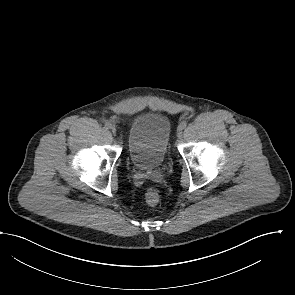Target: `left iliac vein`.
<instances>
[{"instance_id":"left-iliac-vein-1","label":"left iliac vein","mask_w":295,"mask_h":295,"mask_svg":"<svg viewBox=\"0 0 295 295\" xmlns=\"http://www.w3.org/2000/svg\"><path fill=\"white\" fill-rule=\"evenodd\" d=\"M177 136H178V138L182 137V127L181 126H179V128H178Z\"/></svg>"}]
</instances>
